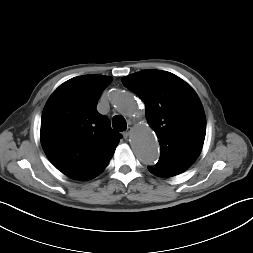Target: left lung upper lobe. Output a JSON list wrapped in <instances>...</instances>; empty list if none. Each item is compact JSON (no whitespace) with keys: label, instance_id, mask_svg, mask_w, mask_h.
Here are the masks:
<instances>
[{"label":"left lung upper lobe","instance_id":"1","mask_svg":"<svg viewBox=\"0 0 253 253\" xmlns=\"http://www.w3.org/2000/svg\"><path fill=\"white\" fill-rule=\"evenodd\" d=\"M146 106L149 125L159 138L157 166L186 170L199 156L206 134L203 106L181 78L161 70H143L122 78Z\"/></svg>","mask_w":253,"mask_h":253}]
</instances>
